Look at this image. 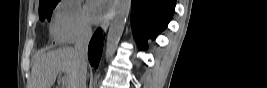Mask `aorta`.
<instances>
[{
    "mask_svg": "<svg viewBox=\"0 0 267 88\" xmlns=\"http://www.w3.org/2000/svg\"><path fill=\"white\" fill-rule=\"evenodd\" d=\"M131 6V0H115L113 8V17L109 26L106 41V59L113 57L118 47V43L127 21Z\"/></svg>",
    "mask_w": 267,
    "mask_h": 88,
    "instance_id": "1",
    "label": "aorta"
}]
</instances>
